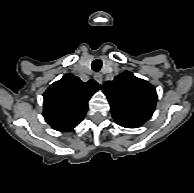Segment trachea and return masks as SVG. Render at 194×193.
<instances>
[{"label": "trachea", "mask_w": 194, "mask_h": 193, "mask_svg": "<svg viewBox=\"0 0 194 193\" xmlns=\"http://www.w3.org/2000/svg\"><path fill=\"white\" fill-rule=\"evenodd\" d=\"M102 67V61L100 59H95L92 62V70L98 72Z\"/></svg>", "instance_id": "1"}]
</instances>
